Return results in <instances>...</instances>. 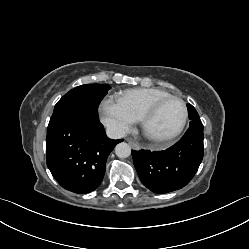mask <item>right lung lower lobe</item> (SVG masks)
<instances>
[{"label":"right lung lower lobe","mask_w":249,"mask_h":249,"mask_svg":"<svg viewBox=\"0 0 249 249\" xmlns=\"http://www.w3.org/2000/svg\"><path fill=\"white\" fill-rule=\"evenodd\" d=\"M121 141L106 136L98 117H75L48 129L47 166L65 189L89 193L100 185L107 157Z\"/></svg>","instance_id":"obj_1"}]
</instances>
